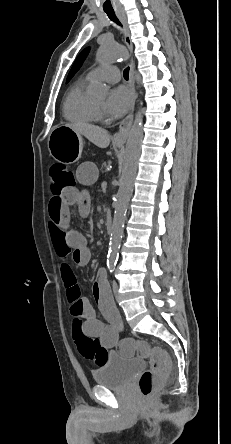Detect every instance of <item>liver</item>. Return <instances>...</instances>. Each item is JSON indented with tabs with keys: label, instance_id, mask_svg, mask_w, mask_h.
<instances>
[{
	"label": "liver",
	"instance_id": "6515ba94",
	"mask_svg": "<svg viewBox=\"0 0 231 444\" xmlns=\"http://www.w3.org/2000/svg\"><path fill=\"white\" fill-rule=\"evenodd\" d=\"M65 126L71 128L77 134L86 137L99 148H107L110 144V134L101 127L86 123H73L66 124Z\"/></svg>",
	"mask_w": 231,
	"mask_h": 444
}]
</instances>
